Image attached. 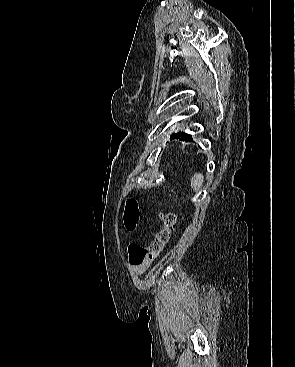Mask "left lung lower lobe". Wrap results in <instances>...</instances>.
<instances>
[{
    "mask_svg": "<svg viewBox=\"0 0 295 367\" xmlns=\"http://www.w3.org/2000/svg\"><path fill=\"white\" fill-rule=\"evenodd\" d=\"M171 138H179L182 141L188 142V141H192V135L185 133L183 131H180L178 133H175L173 135H171Z\"/></svg>",
    "mask_w": 295,
    "mask_h": 367,
    "instance_id": "obj_1",
    "label": "left lung lower lobe"
}]
</instances>
